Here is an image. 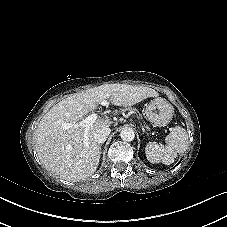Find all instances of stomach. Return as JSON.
Listing matches in <instances>:
<instances>
[{
    "instance_id": "0dacf381",
    "label": "stomach",
    "mask_w": 227,
    "mask_h": 227,
    "mask_svg": "<svg viewBox=\"0 0 227 227\" xmlns=\"http://www.w3.org/2000/svg\"><path fill=\"white\" fill-rule=\"evenodd\" d=\"M148 121L154 127H164L173 117V106L163 98L153 99L146 108Z\"/></svg>"
}]
</instances>
